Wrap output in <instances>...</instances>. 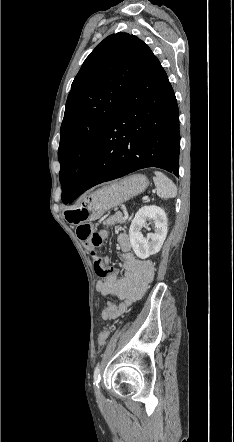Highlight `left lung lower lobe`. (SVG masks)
Instances as JSON below:
<instances>
[{
  "label": "left lung lower lobe",
  "mask_w": 234,
  "mask_h": 442,
  "mask_svg": "<svg viewBox=\"0 0 234 442\" xmlns=\"http://www.w3.org/2000/svg\"><path fill=\"white\" fill-rule=\"evenodd\" d=\"M179 147L177 101L153 55L104 129L87 172L67 203L99 183L142 168L158 167L178 177Z\"/></svg>",
  "instance_id": "obj_1"
}]
</instances>
